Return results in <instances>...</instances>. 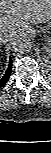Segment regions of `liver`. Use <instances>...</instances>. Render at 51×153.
<instances>
[{"label": "liver", "instance_id": "1", "mask_svg": "<svg viewBox=\"0 0 51 153\" xmlns=\"http://www.w3.org/2000/svg\"><path fill=\"white\" fill-rule=\"evenodd\" d=\"M50 19L51 0H0V36L10 35L14 39L30 24L46 23Z\"/></svg>", "mask_w": 51, "mask_h": 153}]
</instances>
